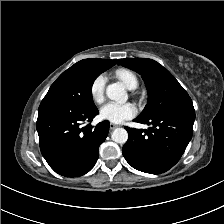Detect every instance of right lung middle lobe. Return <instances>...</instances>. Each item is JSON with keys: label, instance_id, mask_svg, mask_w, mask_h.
<instances>
[{"label": "right lung middle lobe", "instance_id": "obj_1", "mask_svg": "<svg viewBox=\"0 0 224 224\" xmlns=\"http://www.w3.org/2000/svg\"><path fill=\"white\" fill-rule=\"evenodd\" d=\"M106 69L88 59L81 60L64 71L51 85L44 98H53L79 109H95L92 98L94 80Z\"/></svg>", "mask_w": 224, "mask_h": 224}]
</instances>
